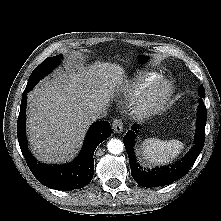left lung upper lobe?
<instances>
[{
  "label": "left lung upper lobe",
  "instance_id": "1",
  "mask_svg": "<svg viewBox=\"0 0 221 221\" xmlns=\"http://www.w3.org/2000/svg\"><path fill=\"white\" fill-rule=\"evenodd\" d=\"M199 91H200V95H201V97L204 98V96H205L204 87L201 86Z\"/></svg>",
  "mask_w": 221,
  "mask_h": 221
}]
</instances>
